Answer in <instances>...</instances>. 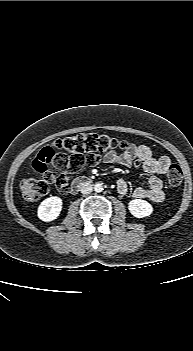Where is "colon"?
Wrapping results in <instances>:
<instances>
[{"label":"colon","instance_id":"1","mask_svg":"<svg viewBox=\"0 0 193 351\" xmlns=\"http://www.w3.org/2000/svg\"><path fill=\"white\" fill-rule=\"evenodd\" d=\"M127 143L106 134H78L54 142L53 146L44 147L33 160V169L42 175V179H24L20 183L22 196L27 201H37L49 193L50 186L58 191L68 187V173L91 167L99 163L102 156L117 149H125ZM55 150L67 152L57 153ZM52 164L60 174L47 170ZM183 179L181 168L171 164L167 170V180L171 187H178Z\"/></svg>","mask_w":193,"mask_h":351}]
</instances>
